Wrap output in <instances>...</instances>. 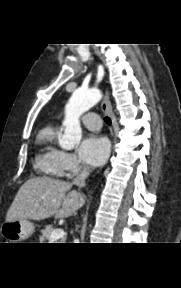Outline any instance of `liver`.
Here are the masks:
<instances>
[{
    "label": "liver",
    "instance_id": "obj_1",
    "mask_svg": "<svg viewBox=\"0 0 181 288\" xmlns=\"http://www.w3.org/2000/svg\"><path fill=\"white\" fill-rule=\"evenodd\" d=\"M72 184L48 177L27 180L18 190L10 206L6 221L44 220L72 216L84 203V196L72 190Z\"/></svg>",
    "mask_w": 181,
    "mask_h": 288
}]
</instances>
